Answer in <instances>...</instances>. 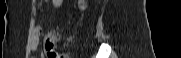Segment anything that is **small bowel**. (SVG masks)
<instances>
[{
	"label": "small bowel",
	"instance_id": "c3829d8e",
	"mask_svg": "<svg viewBox=\"0 0 181 58\" xmlns=\"http://www.w3.org/2000/svg\"><path fill=\"white\" fill-rule=\"evenodd\" d=\"M51 3L53 5V7L60 8L63 6L64 0H52ZM43 5H44L43 0L36 1V11L41 12L43 9ZM40 34H41V27L36 26L34 29V39L32 42V49L33 50H36L38 47ZM46 38H52L55 40V35L51 33V34L47 35Z\"/></svg>",
	"mask_w": 181,
	"mask_h": 58
}]
</instances>
